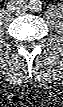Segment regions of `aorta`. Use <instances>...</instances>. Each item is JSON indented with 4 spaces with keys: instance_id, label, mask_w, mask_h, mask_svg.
<instances>
[{
    "instance_id": "aorta-1",
    "label": "aorta",
    "mask_w": 63,
    "mask_h": 107,
    "mask_svg": "<svg viewBox=\"0 0 63 107\" xmlns=\"http://www.w3.org/2000/svg\"><path fill=\"white\" fill-rule=\"evenodd\" d=\"M39 5H40V2L38 1L33 0L30 2L31 7L38 8Z\"/></svg>"
}]
</instances>
